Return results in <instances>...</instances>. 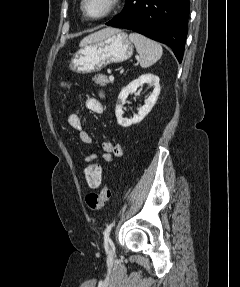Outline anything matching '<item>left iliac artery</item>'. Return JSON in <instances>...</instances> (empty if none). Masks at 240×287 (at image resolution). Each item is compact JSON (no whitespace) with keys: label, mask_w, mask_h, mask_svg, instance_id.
I'll list each match as a JSON object with an SVG mask.
<instances>
[{"label":"left iliac artery","mask_w":240,"mask_h":287,"mask_svg":"<svg viewBox=\"0 0 240 287\" xmlns=\"http://www.w3.org/2000/svg\"><path fill=\"white\" fill-rule=\"evenodd\" d=\"M114 225H115V221H113L111 224H109L104 231V243L106 246H108V243L110 242L109 235H110V231Z\"/></svg>","instance_id":"44dca946"}]
</instances>
